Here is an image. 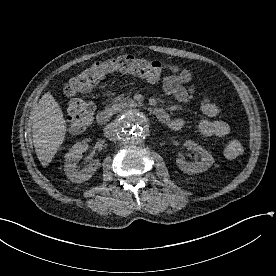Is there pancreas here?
Segmentation results:
<instances>
[{
    "instance_id": "cf45deb5",
    "label": "pancreas",
    "mask_w": 276,
    "mask_h": 276,
    "mask_svg": "<svg viewBox=\"0 0 276 276\" xmlns=\"http://www.w3.org/2000/svg\"><path fill=\"white\" fill-rule=\"evenodd\" d=\"M135 106V101L130 97H124L123 95H118L111 100L110 107L114 112L121 111L125 107Z\"/></svg>"
}]
</instances>
